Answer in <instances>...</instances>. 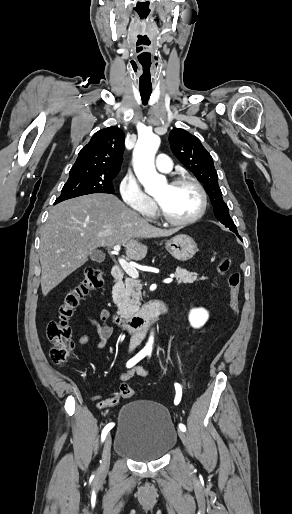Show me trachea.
I'll return each instance as SVG.
<instances>
[{"instance_id":"obj_1","label":"trachea","mask_w":292,"mask_h":514,"mask_svg":"<svg viewBox=\"0 0 292 514\" xmlns=\"http://www.w3.org/2000/svg\"><path fill=\"white\" fill-rule=\"evenodd\" d=\"M151 93H152V90L140 89V94H141L143 105H147Z\"/></svg>"}]
</instances>
